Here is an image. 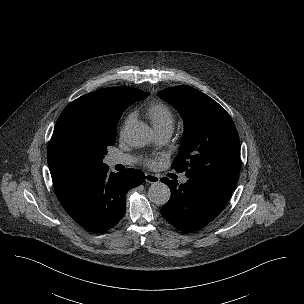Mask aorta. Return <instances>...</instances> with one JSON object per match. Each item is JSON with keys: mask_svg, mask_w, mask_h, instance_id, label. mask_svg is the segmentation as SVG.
<instances>
[{"mask_svg": "<svg viewBox=\"0 0 304 304\" xmlns=\"http://www.w3.org/2000/svg\"><path fill=\"white\" fill-rule=\"evenodd\" d=\"M150 128L142 122H136L126 129V142L133 147H141L147 144L150 137ZM148 196L156 205L166 204L171 196L170 188L162 182H154L149 188Z\"/></svg>", "mask_w": 304, "mask_h": 304, "instance_id": "1", "label": "aorta"}]
</instances>
